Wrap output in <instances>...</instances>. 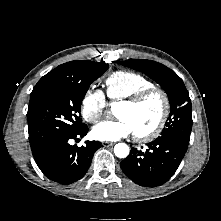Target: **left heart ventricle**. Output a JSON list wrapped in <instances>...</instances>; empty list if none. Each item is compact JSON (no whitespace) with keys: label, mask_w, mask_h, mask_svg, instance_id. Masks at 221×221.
<instances>
[{"label":"left heart ventricle","mask_w":221,"mask_h":221,"mask_svg":"<svg viewBox=\"0 0 221 221\" xmlns=\"http://www.w3.org/2000/svg\"><path fill=\"white\" fill-rule=\"evenodd\" d=\"M162 113V100L155 95L138 107L118 105L115 115L126 120L132 127L134 134L146 133L157 124Z\"/></svg>","instance_id":"obj_1"}]
</instances>
